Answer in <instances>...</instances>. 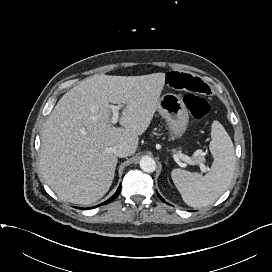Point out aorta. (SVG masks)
Returning a JSON list of instances; mask_svg holds the SVG:
<instances>
[{
  "instance_id": "762f6f07",
  "label": "aorta",
  "mask_w": 272,
  "mask_h": 272,
  "mask_svg": "<svg viewBox=\"0 0 272 272\" xmlns=\"http://www.w3.org/2000/svg\"><path fill=\"white\" fill-rule=\"evenodd\" d=\"M140 168L147 173L154 172L156 169V162L149 156H144L140 160Z\"/></svg>"
}]
</instances>
